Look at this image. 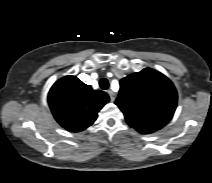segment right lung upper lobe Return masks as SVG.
Segmentation results:
<instances>
[{
  "mask_svg": "<svg viewBox=\"0 0 212 183\" xmlns=\"http://www.w3.org/2000/svg\"><path fill=\"white\" fill-rule=\"evenodd\" d=\"M108 101L105 92L93 90L75 76L59 79L48 94V103L55 119L72 132H80L89 127Z\"/></svg>",
  "mask_w": 212,
  "mask_h": 183,
  "instance_id": "1",
  "label": "right lung upper lobe"
}]
</instances>
